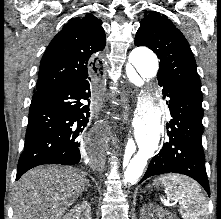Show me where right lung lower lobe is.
Segmentation results:
<instances>
[{
	"label": "right lung lower lobe",
	"mask_w": 221,
	"mask_h": 219,
	"mask_svg": "<svg viewBox=\"0 0 221 219\" xmlns=\"http://www.w3.org/2000/svg\"><path fill=\"white\" fill-rule=\"evenodd\" d=\"M93 92L89 77L34 93L16 180L38 165L80 161L81 136L89 121Z\"/></svg>",
	"instance_id": "right-lung-lower-lobe-1"
}]
</instances>
